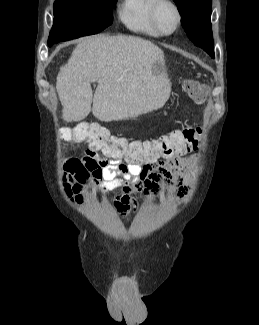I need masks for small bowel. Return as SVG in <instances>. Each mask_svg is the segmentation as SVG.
Instances as JSON below:
<instances>
[{"mask_svg":"<svg viewBox=\"0 0 259 325\" xmlns=\"http://www.w3.org/2000/svg\"><path fill=\"white\" fill-rule=\"evenodd\" d=\"M199 133L196 132V135ZM193 150L175 149L144 162L131 163L99 157L95 150L89 148L82 161L71 159L63 164L61 178L65 190L73 193L77 202L82 201L81 192L87 185L93 186L97 192L117 190L114 210L119 216L128 217L136 206V194L161 196L165 186L174 187L181 198L188 194V185L174 180L173 176L180 172L183 159Z\"/></svg>","mask_w":259,"mask_h":325,"instance_id":"small-bowel-1","label":"small bowel"}]
</instances>
